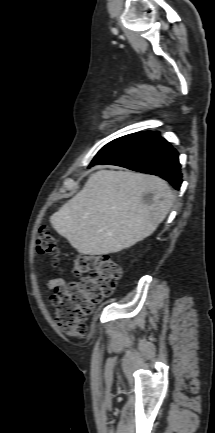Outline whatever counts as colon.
Masks as SVG:
<instances>
[{"mask_svg":"<svg viewBox=\"0 0 215 433\" xmlns=\"http://www.w3.org/2000/svg\"><path fill=\"white\" fill-rule=\"evenodd\" d=\"M36 247L40 254L54 258L53 266L59 265L56 239L45 224L38 228ZM74 274L80 277L79 281L57 287L50 301L59 329L67 334L82 335L96 305L115 289L121 270L107 254L78 255L74 259Z\"/></svg>","mask_w":215,"mask_h":433,"instance_id":"5ec220e1","label":"colon"}]
</instances>
